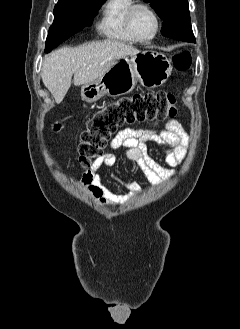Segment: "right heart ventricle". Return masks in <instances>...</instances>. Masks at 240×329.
<instances>
[{"mask_svg": "<svg viewBox=\"0 0 240 329\" xmlns=\"http://www.w3.org/2000/svg\"><path fill=\"white\" fill-rule=\"evenodd\" d=\"M136 0H108L102 10L98 30L117 42H134L126 29V16Z\"/></svg>", "mask_w": 240, "mask_h": 329, "instance_id": "right-heart-ventricle-1", "label": "right heart ventricle"}]
</instances>
